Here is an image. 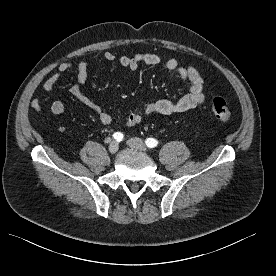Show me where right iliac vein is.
<instances>
[{"label":"right iliac vein","mask_w":276,"mask_h":276,"mask_svg":"<svg viewBox=\"0 0 276 276\" xmlns=\"http://www.w3.org/2000/svg\"><path fill=\"white\" fill-rule=\"evenodd\" d=\"M119 149V144L117 141H112L109 145V151L112 154H115Z\"/></svg>","instance_id":"right-iliac-vein-1"}]
</instances>
